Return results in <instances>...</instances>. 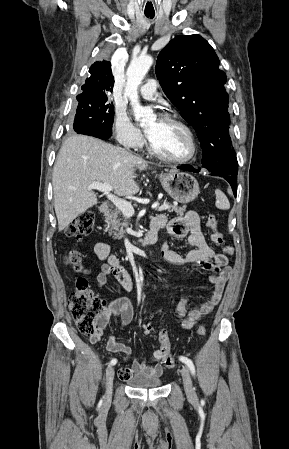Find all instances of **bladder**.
<instances>
[{"label":"bladder","instance_id":"1","mask_svg":"<svg viewBox=\"0 0 289 449\" xmlns=\"http://www.w3.org/2000/svg\"><path fill=\"white\" fill-rule=\"evenodd\" d=\"M127 384L133 388H157L163 384L160 376L139 373L127 380Z\"/></svg>","mask_w":289,"mask_h":449}]
</instances>
